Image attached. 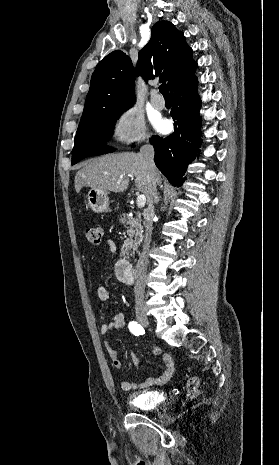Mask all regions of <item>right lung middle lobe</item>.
I'll use <instances>...</instances> for the list:
<instances>
[{
    "mask_svg": "<svg viewBox=\"0 0 279 465\" xmlns=\"http://www.w3.org/2000/svg\"><path fill=\"white\" fill-rule=\"evenodd\" d=\"M124 110H105L90 123L78 127L72 150V165L80 160L114 151L105 146L110 139L114 123Z\"/></svg>",
    "mask_w": 279,
    "mask_h": 465,
    "instance_id": "obj_1",
    "label": "right lung middle lobe"
}]
</instances>
